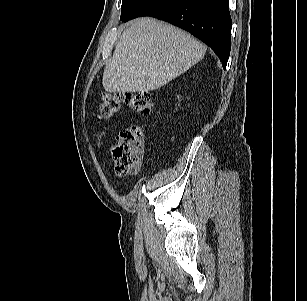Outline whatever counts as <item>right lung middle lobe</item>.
I'll list each match as a JSON object with an SVG mask.
<instances>
[{"instance_id": "1", "label": "right lung middle lobe", "mask_w": 307, "mask_h": 301, "mask_svg": "<svg viewBox=\"0 0 307 301\" xmlns=\"http://www.w3.org/2000/svg\"><path fill=\"white\" fill-rule=\"evenodd\" d=\"M160 1L161 0H123L120 19L123 22L134 19Z\"/></svg>"}]
</instances>
